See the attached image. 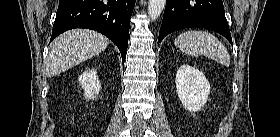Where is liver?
<instances>
[{
  "label": "liver",
  "instance_id": "liver-1",
  "mask_svg": "<svg viewBox=\"0 0 280 137\" xmlns=\"http://www.w3.org/2000/svg\"><path fill=\"white\" fill-rule=\"evenodd\" d=\"M109 39L89 29H74L59 35L50 45L46 75L53 77L104 51Z\"/></svg>",
  "mask_w": 280,
  "mask_h": 137
}]
</instances>
